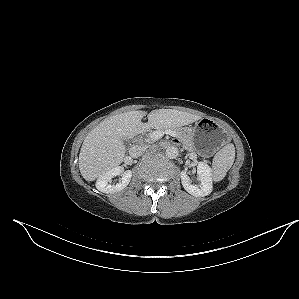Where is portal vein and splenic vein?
Here are the masks:
<instances>
[{"label": "portal vein and splenic vein", "mask_w": 299, "mask_h": 299, "mask_svg": "<svg viewBox=\"0 0 299 299\" xmlns=\"http://www.w3.org/2000/svg\"><path fill=\"white\" fill-rule=\"evenodd\" d=\"M164 134H169V135L172 136V137H175V136L177 135L175 131H172V130L167 129V130H165V131H160V130H158V131H154V132L151 133L150 136H151V138H152L154 141H157V140H159L160 138H162Z\"/></svg>", "instance_id": "18ae733b"}]
</instances>
